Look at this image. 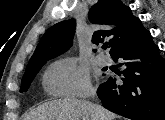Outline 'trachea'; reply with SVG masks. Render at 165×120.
I'll use <instances>...</instances> for the list:
<instances>
[{"instance_id": "1", "label": "trachea", "mask_w": 165, "mask_h": 120, "mask_svg": "<svg viewBox=\"0 0 165 120\" xmlns=\"http://www.w3.org/2000/svg\"><path fill=\"white\" fill-rule=\"evenodd\" d=\"M103 49H107V45H103Z\"/></svg>"}]
</instances>
